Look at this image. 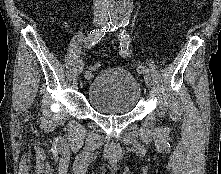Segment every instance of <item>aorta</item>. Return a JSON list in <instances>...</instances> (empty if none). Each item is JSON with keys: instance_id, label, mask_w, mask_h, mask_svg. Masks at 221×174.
I'll use <instances>...</instances> for the list:
<instances>
[{"instance_id": "762f6f07", "label": "aorta", "mask_w": 221, "mask_h": 174, "mask_svg": "<svg viewBox=\"0 0 221 174\" xmlns=\"http://www.w3.org/2000/svg\"><path fill=\"white\" fill-rule=\"evenodd\" d=\"M108 13L112 21H128L133 8V0H107Z\"/></svg>"}]
</instances>
